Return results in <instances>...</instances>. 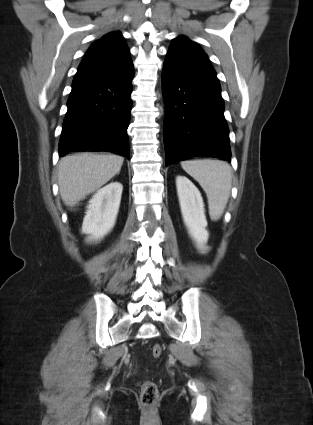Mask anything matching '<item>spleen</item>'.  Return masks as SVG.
<instances>
[{"label": "spleen", "instance_id": "3e777b00", "mask_svg": "<svg viewBox=\"0 0 313 425\" xmlns=\"http://www.w3.org/2000/svg\"><path fill=\"white\" fill-rule=\"evenodd\" d=\"M181 166L205 191L210 218L213 221L220 219L231 192L230 165L220 160L203 159L182 161Z\"/></svg>", "mask_w": 313, "mask_h": 425}]
</instances>
